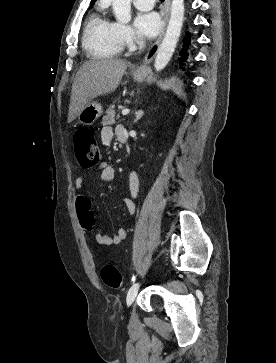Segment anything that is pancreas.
Listing matches in <instances>:
<instances>
[{
    "label": "pancreas",
    "instance_id": "cf45deb5",
    "mask_svg": "<svg viewBox=\"0 0 276 363\" xmlns=\"http://www.w3.org/2000/svg\"><path fill=\"white\" fill-rule=\"evenodd\" d=\"M114 122H115V110H114V105H112L106 110V115L102 119V124L111 125Z\"/></svg>",
    "mask_w": 276,
    "mask_h": 363
}]
</instances>
